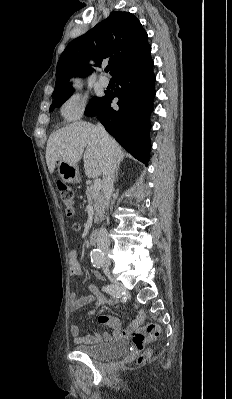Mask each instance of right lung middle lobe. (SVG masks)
Segmentation results:
<instances>
[{
  "instance_id": "right-lung-middle-lobe-1",
  "label": "right lung middle lobe",
  "mask_w": 232,
  "mask_h": 399,
  "mask_svg": "<svg viewBox=\"0 0 232 399\" xmlns=\"http://www.w3.org/2000/svg\"><path fill=\"white\" fill-rule=\"evenodd\" d=\"M72 93H73V90L69 91V92H66V93L53 95L52 97L54 98V100H53V104L50 106V111H52L54 109V107L61 106V104L63 102H65L72 95ZM102 98L103 97H101V98L100 97L93 98L91 103L87 105L86 112L94 111L99 106Z\"/></svg>"
}]
</instances>
